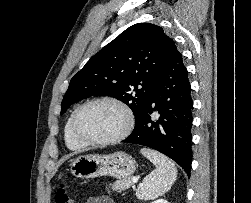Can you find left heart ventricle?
Masks as SVG:
<instances>
[{"instance_id": "b2bd125f", "label": "left heart ventricle", "mask_w": 251, "mask_h": 203, "mask_svg": "<svg viewBox=\"0 0 251 203\" xmlns=\"http://www.w3.org/2000/svg\"><path fill=\"white\" fill-rule=\"evenodd\" d=\"M124 125L123 111L110 103H96L86 107L77 120L78 131L93 140L111 138L117 135Z\"/></svg>"}]
</instances>
